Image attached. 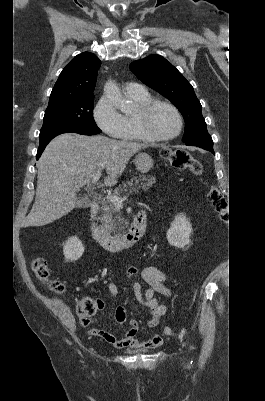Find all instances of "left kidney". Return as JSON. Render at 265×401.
<instances>
[{
	"label": "left kidney",
	"mask_w": 265,
	"mask_h": 401,
	"mask_svg": "<svg viewBox=\"0 0 265 401\" xmlns=\"http://www.w3.org/2000/svg\"><path fill=\"white\" fill-rule=\"evenodd\" d=\"M191 233L192 225H190V221L184 217L183 213H179V215H176L174 221H172L166 237L172 247L185 249L189 245Z\"/></svg>",
	"instance_id": "obj_1"
}]
</instances>
